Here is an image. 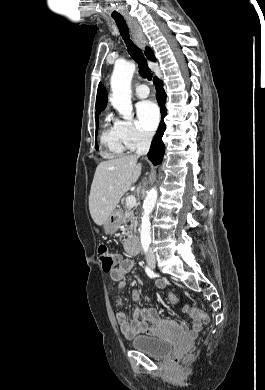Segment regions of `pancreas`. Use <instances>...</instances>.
Segmentation results:
<instances>
[{"label":"pancreas","mask_w":265,"mask_h":390,"mask_svg":"<svg viewBox=\"0 0 265 390\" xmlns=\"http://www.w3.org/2000/svg\"><path fill=\"white\" fill-rule=\"evenodd\" d=\"M121 216H122V224H126L130 222L129 228L126 230V232L123 233V236H127L128 238H131L133 234L137 231V217L134 215V211L130 207H126L124 209H121ZM126 242V240H124Z\"/></svg>","instance_id":"obj_1"}]
</instances>
